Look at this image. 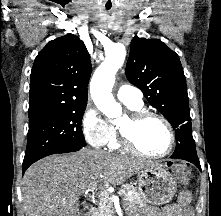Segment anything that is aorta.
<instances>
[{
    "instance_id": "obj_1",
    "label": "aorta",
    "mask_w": 221,
    "mask_h": 216,
    "mask_svg": "<svg viewBox=\"0 0 221 216\" xmlns=\"http://www.w3.org/2000/svg\"><path fill=\"white\" fill-rule=\"evenodd\" d=\"M126 56L122 44H114L107 52L105 60L96 69L90 82V94L97 108L108 118H117L122 108L111 93L115 75L122 67Z\"/></svg>"
}]
</instances>
